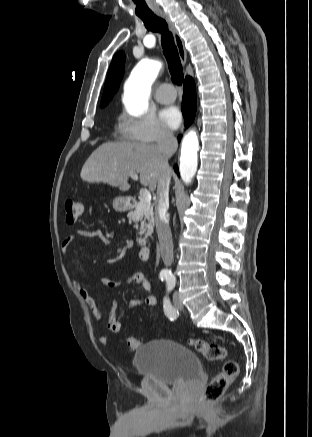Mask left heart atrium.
I'll return each mask as SVG.
<instances>
[{
    "label": "left heart atrium",
    "mask_w": 312,
    "mask_h": 437,
    "mask_svg": "<svg viewBox=\"0 0 312 437\" xmlns=\"http://www.w3.org/2000/svg\"><path fill=\"white\" fill-rule=\"evenodd\" d=\"M162 121L171 129H175L181 123V113L175 106H170L162 110Z\"/></svg>",
    "instance_id": "left-heart-atrium-1"
}]
</instances>
